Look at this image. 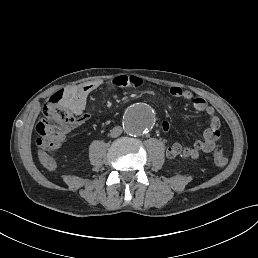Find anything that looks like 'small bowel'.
I'll return each mask as SVG.
<instances>
[{"mask_svg": "<svg viewBox=\"0 0 258 258\" xmlns=\"http://www.w3.org/2000/svg\"><path fill=\"white\" fill-rule=\"evenodd\" d=\"M142 83L143 81L140 77L125 75L118 76L112 81L115 87L120 88L140 87ZM102 85V81H89L79 86L68 87L61 92L59 104L72 113L81 115L86 107L88 96ZM169 91L173 97L192 102L196 111L205 113L209 117V126L203 131V138L194 141L191 146H185L178 142L169 145L165 150L166 156L170 159L177 157L197 159L203 152L210 153L221 135V121L215 114L214 108L209 106L205 99L195 97L188 90L173 86ZM169 127V122L164 121L162 123L164 131H167ZM38 157L42 166L47 170H54L56 168L54 157L49 155L46 161L41 158L40 154Z\"/></svg>", "mask_w": 258, "mask_h": 258, "instance_id": "c3829d8e", "label": "small bowel"}]
</instances>
